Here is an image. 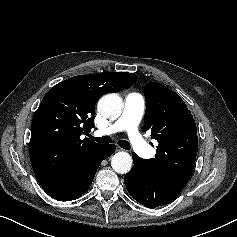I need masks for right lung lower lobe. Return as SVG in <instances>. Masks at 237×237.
Instances as JSON below:
<instances>
[{
  "instance_id": "obj_1",
  "label": "right lung lower lobe",
  "mask_w": 237,
  "mask_h": 237,
  "mask_svg": "<svg viewBox=\"0 0 237 237\" xmlns=\"http://www.w3.org/2000/svg\"><path fill=\"white\" fill-rule=\"evenodd\" d=\"M115 151L114 144L100 145L79 156L62 179L41 183L44 191L59 201H71L85 193L101 162Z\"/></svg>"
}]
</instances>
